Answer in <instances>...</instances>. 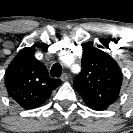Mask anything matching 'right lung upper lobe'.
Masks as SVG:
<instances>
[{
  "mask_svg": "<svg viewBox=\"0 0 133 133\" xmlns=\"http://www.w3.org/2000/svg\"><path fill=\"white\" fill-rule=\"evenodd\" d=\"M34 53L33 47L22 49L9 64L5 74L9 96L24 109L42 105L61 84L60 79L48 76L45 65L35 58Z\"/></svg>",
  "mask_w": 133,
  "mask_h": 133,
  "instance_id": "cb5924a9",
  "label": "right lung upper lobe"
}]
</instances>
